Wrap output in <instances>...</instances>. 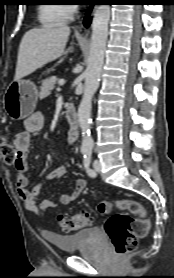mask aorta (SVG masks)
I'll return each instance as SVG.
<instances>
[{
	"mask_svg": "<svg viewBox=\"0 0 174 278\" xmlns=\"http://www.w3.org/2000/svg\"><path fill=\"white\" fill-rule=\"evenodd\" d=\"M109 19L110 5H99L94 14L90 51L85 71L84 92L78 107V122L82 133L81 149L85 151H91L94 145L91 136L92 98L99 87L108 37Z\"/></svg>",
	"mask_w": 174,
	"mask_h": 278,
	"instance_id": "1",
	"label": "aorta"
}]
</instances>
